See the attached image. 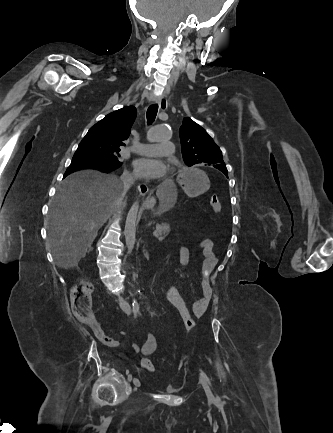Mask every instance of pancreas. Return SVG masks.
Masks as SVG:
<instances>
[{
    "instance_id": "cf45deb5",
    "label": "pancreas",
    "mask_w": 333,
    "mask_h": 433,
    "mask_svg": "<svg viewBox=\"0 0 333 433\" xmlns=\"http://www.w3.org/2000/svg\"><path fill=\"white\" fill-rule=\"evenodd\" d=\"M155 232L159 237H163V238L166 237L167 234L170 232V224L169 223L157 224Z\"/></svg>"
}]
</instances>
